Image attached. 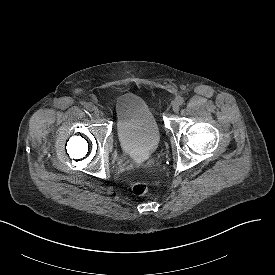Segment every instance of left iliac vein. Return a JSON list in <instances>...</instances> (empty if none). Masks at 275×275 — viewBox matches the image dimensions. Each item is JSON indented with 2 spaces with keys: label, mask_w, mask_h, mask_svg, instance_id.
Here are the masks:
<instances>
[{
  "label": "left iliac vein",
  "mask_w": 275,
  "mask_h": 275,
  "mask_svg": "<svg viewBox=\"0 0 275 275\" xmlns=\"http://www.w3.org/2000/svg\"><path fill=\"white\" fill-rule=\"evenodd\" d=\"M172 108H173V111H174L175 113H178V112H179V109H180V108H179V104L177 103L176 100L173 102Z\"/></svg>",
  "instance_id": "left-iliac-vein-1"
}]
</instances>
